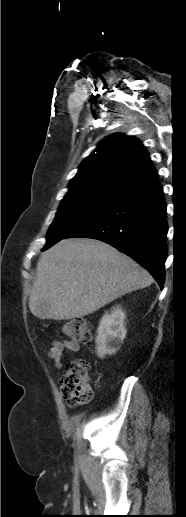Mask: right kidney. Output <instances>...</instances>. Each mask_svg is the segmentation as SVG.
<instances>
[{"mask_svg": "<svg viewBox=\"0 0 186 517\" xmlns=\"http://www.w3.org/2000/svg\"><path fill=\"white\" fill-rule=\"evenodd\" d=\"M125 317V312L119 306L102 317L95 339L98 357L112 355L121 347L127 332L124 325Z\"/></svg>", "mask_w": 186, "mask_h": 517, "instance_id": "obj_1", "label": "right kidney"}]
</instances>
